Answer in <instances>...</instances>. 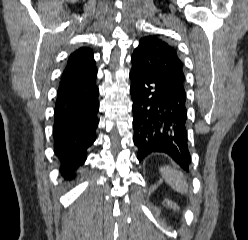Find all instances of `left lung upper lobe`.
Here are the masks:
<instances>
[{"label": "left lung upper lobe", "instance_id": "1", "mask_svg": "<svg viewBox=\"0 0 248 240\" xmlns=\"http://www.w3.org/2000/svg\"><path fill=\"white\" fill-rule=\"evenodd\" d=\"M132 58L145 64L163 80L185 93L183 62L176 49L161 38L155 35L141 38Z\"/></svg>", "mask_w": 248, "mask_h": 240}]
</instances>
